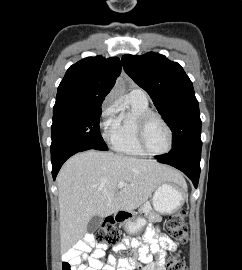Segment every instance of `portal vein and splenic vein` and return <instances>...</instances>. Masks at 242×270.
<instances>
[{
	"label": "portal vein and splenic vein",
	"mask_w": 242,
	"mask_h": 270,
	"mask_svg": "<svg viewBox=\"0 0 242 270\" xmlns=\"http://www.w3.org/2000/svg\"><path fill=\"white\" fill-rule=\"evenodd\" d=\"M124 186H126V184L124 182H119L117 184V189H122Z\"/></svg>",
	"instance_id": "1"
}]
</instances>
